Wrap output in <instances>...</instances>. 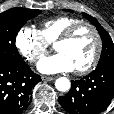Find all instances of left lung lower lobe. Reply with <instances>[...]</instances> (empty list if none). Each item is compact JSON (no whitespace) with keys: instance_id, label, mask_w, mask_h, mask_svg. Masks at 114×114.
<instances>
[{"instance_id":"obj_1","label":"left lung lower lobe","mask_w":114,"mask_h":114,"mask_svg":"<svg viewBox=\"0 0 114 114\" xmlns=\"http://www.w3.org/2000/svg\"><path fill=\"white\" fill-rule=\"evenodd\" d=\"M114 96V65L97 67L81 80L72 81L67 95L59 97L69 114H98Z\"/></svg>"}]
</instances>
